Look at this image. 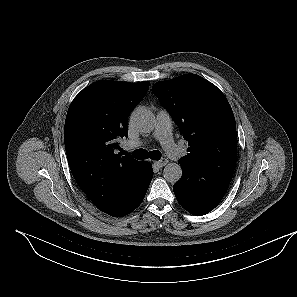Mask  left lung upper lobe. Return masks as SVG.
Listing matches in <instances>:
<instances>
[{"mask_svg": "<svg viewBox=\"0 0 297 297\" xmlns=\"http://www.w3.org/2000/svg\"><path fill=\"white\" fill-rule=\"evenodd\" d=\"M152 92L179 126L189 148L179 164L193 175L195 189L231 182L237 159L235 118L226 97L195 74L159 81Z\"/></svg>", "mask_w": 297, "mask_h": 297, "instance_id": "5c2ea615", "label": "left lung upper lobe"}]
</instances>
